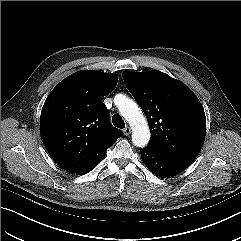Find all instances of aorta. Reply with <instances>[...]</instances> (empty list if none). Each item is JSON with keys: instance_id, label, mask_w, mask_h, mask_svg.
Here are the masks:
<instances>
[{"instance_id": "aorta-1", "label": "aorta", "mask_w": 241, "mask_h": 241, "mask_svg": "<svg viewBox=\"0 0 241 241\" xmlns=\"http://www.w3.org/2000/svg\"><path fill=\"white\" fill-rule=\"evenodd\" d=\"M121 115L132 128V143L137 147H145L150 140L148 123L137 103L125 96L115 98Z\"/></svg>"}]
</instances>
